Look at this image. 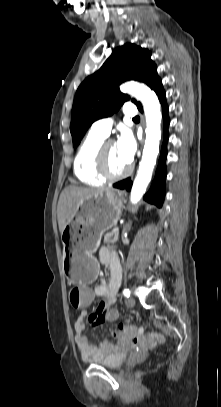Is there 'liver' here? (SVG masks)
I'll list each match as a JSON object with an SVG mask.
<instances>
[{"mask_svg": "<svg viewBox=\"0 0 221 407\" xmlns=\"http://www.w3.org/2000/svg\"><path fill=\"white\" fill-rule=\"evenodd\" d=\"M105 190H108V188H82L77 186L65 188L60 195L57 206L60 233H62L66 224L73 218L82 200Z\"/></svg>", "mask_w": 221, "mask_h": 407, "instance_id": "6515ba94", "label": "liver"}]
</instances>
